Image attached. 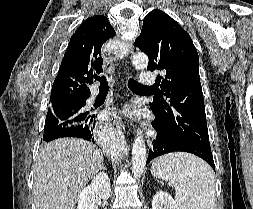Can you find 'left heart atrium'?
<instances>
[{
  "label": "left heart atrium",
  "mask_w": 253,
  "mask_h": 209,
  "mask_svg": "<svg viewBox=\"0 0 253 209\" xmlns=\"http://www.w3.org/2000/svg\"><path fill=\"white\" fill-rule=\"evenodd\" d=\"M121 113H122L123 115H125V116L131 115V111H130V110H123ZM110 115L116 116V112H115V111H111V112H110Z\"/></svg>",
  "instance_id": "39dd6f15"
}]
</instances>
